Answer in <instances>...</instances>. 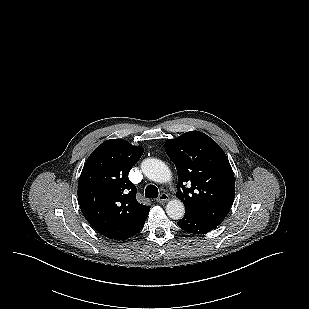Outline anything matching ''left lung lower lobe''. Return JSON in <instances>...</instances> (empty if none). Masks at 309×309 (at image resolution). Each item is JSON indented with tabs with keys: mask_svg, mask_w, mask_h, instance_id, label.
<instances>
[{
	"mask_svg": "<svg viewBox=\"0 0 309 309\" xmlns=\"http://www.w3.org/2000/svg\"><path fill=\"white\" fill-rule=\"evenodd\" d=\"M177 224L181 229L193 234H205L219 225L201 216L191 214H185Z\"/></svg>",
	"mask_w": 309,
	"mask_h": 309,
	"instance_id": "left-lung-lower-lobe-1",
	"label": "left lung lower lobe"
}]
</instances>
